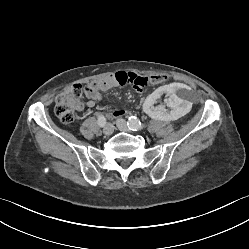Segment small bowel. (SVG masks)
<instances>
[{
  "label": "small bowel",
  "instance_id": "1",
  "mask_svg": "<svg viewBox=\"0 0 249 249\" xmlns=\"http://www.w3.org/2000/svg\"><path fill=\"white\" fill-rule=\"evenodd\" d=\"M133 76H135V74L132 72L120 71L89 83L87 86H85V95L88 99L86 105L88 107H93L101 97L100 92L108 91L117 86L127 85L130 78H132ZM83 107L84 104H78L76 106L77 109H82ZM114 115L120 116L122 115V112L116 111Z\"/></svg>",
  "mask_w": 249,
  "mask_h": 249
}]
</instances>
